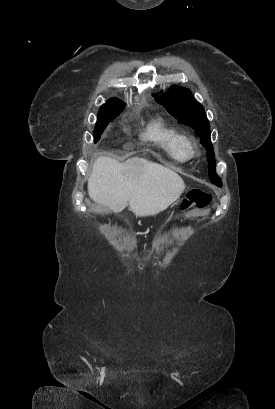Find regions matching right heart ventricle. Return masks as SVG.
<instances>
[{
  "mask_svg": "<svg viewBox=\"0 0 275 409\" xmlns=\"http://www.w3.org/2000/svg\"><path fill=\"white\" fill-rule=\"evenodd\" d=\"M144 138L162 149L169 157H183L181 150L186 136L159 119L148 125Z\"/></svg>",
  "mask_w": 275,
  "mask_h": 409,
  "instance_id": "1",
  "label": "right heart ventricle"
}]
</instances>
